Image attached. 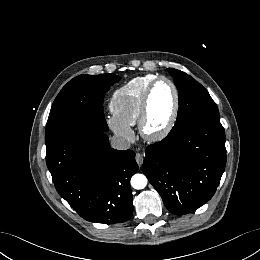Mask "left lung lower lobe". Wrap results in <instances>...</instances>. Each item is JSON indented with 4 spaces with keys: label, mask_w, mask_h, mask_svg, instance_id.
<instances>
[{
    "label": "left lung lower lobe",
    "mask_w": 260,
    "mask_h": 260,
    "mask_svg": "<svg viewBox=\"0 0 260 260\" xmlns=\"http://www.w3.org/2000/svg\"><path fill=\"white\" fill-rule=\"evenodd\" d=\"M226 165L219 114L194 117L146 149L143 171L173 214L190 213L214 195Z\"/></svg>",
    "instance_id": "obj_1"
}]
</instances>
